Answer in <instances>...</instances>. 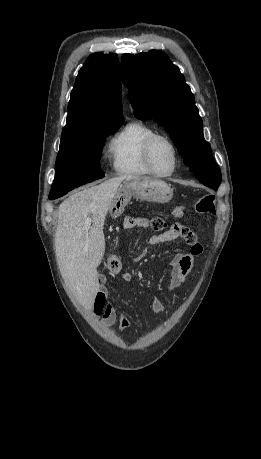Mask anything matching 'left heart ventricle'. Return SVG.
<instances>
[{
	"instance_id": "1",
	"label": "left heart ventricle",
	"mask_w": 261,
	"mask_h": 459,
	"mask_svg": "<svg viewBox=\"0 0 261 459\" xmlns=\"http://www.w3.org/2000/svg\"><path fill=\"white\" fill-rule=\"evenodd\" d=\"M152 162L156 171L168 173L174 165V156L171 147L163 140L158 141L153 148Z\"/></svg>"
}]
</instances>
